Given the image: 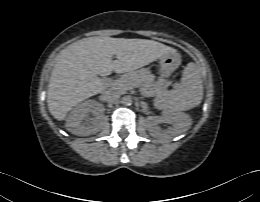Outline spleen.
I'll return each instance as SVG.
<instances>
[{"instance_id":"1","label":"spleen","mask_w":260,"mask_h":202,"mask_svg":"<svg viewBox=\"0 0 260 202\" xmlns=\"http://www.w3.org/2000/svg\"><path fill=\"white\" fill-rule=\"evenodd\" d=\"M202 98L203 85L198 67L189 63L178 87L157 97L154 105L163 112H179L198 106Z\"/></svg>"}]
</instances>
